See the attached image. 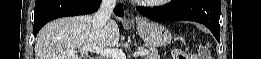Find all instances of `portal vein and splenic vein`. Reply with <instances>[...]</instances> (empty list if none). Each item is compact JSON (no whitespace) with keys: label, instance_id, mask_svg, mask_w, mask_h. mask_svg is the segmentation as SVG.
I'll list each match as a JSON object with an SVG mask.
<instances>
[{"label":"portal vein and splenic vein","instance_id":"obj_1","mask_svg":"<svg viewBox=\"0 0 261 59\" xmlns=\"http://www.w3.org/2000/svg\"><path fill=\"white\" fill-rule=\"evenodd\" d=\"M79 52H94L100 54L110 59H126V55L120 49H111V48H100L95 45H88L78 50ZM149 52L147 50H141L135 53V56L147 55Z\"/></svg>","mask_w":261,"mask_h":59}]
</instances>
